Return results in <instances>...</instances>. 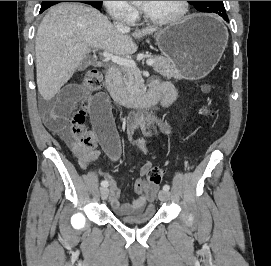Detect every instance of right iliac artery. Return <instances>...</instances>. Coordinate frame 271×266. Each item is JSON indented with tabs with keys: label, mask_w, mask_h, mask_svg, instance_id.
I'll return each mask as SVG.
<instances>
[{
	"label": "right iliac artery",
	"mask_w": 271,
	"mask_h": 266,
	"mask_svg": "<svg viewBox=\"0 0 271 266\" xmlns=\"http://www.w3.org/2000/svg\"><path fill=\"white\" fill-rule=\"evenodd\" d=\"M101 186L102 187H108V182L106 181V180H103L102 182H101Z\"/></svg>",
	"instance_id": "82829eb1"
}]
</instances>
